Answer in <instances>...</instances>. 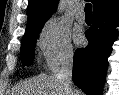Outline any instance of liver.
I'll return each instance as SVG.
<instances>
[{
	"instance_id": "obj_1",
	"label": "liver",
	"mask_w": 119,
	"mask_h": 95,
	"mask_svg": "<svg viewBox=\"0 0 119 95\" xmlns=\"http://www.w3.org/2000/svg\"><path fill=\"white\" fill-rule=\"evenodd\" d=\"M20 95H69L65 83L52 75H40L19 86ZM76 95H83L76 90Z\"/></svg>"
}]
</instances>
